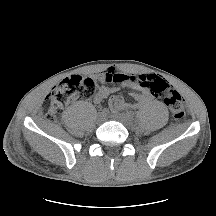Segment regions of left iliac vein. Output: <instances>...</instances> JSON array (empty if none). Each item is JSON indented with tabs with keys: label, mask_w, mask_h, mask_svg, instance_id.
<instances>
[{
	"label": "left iliac vein",
	"mask_w": 216,
	"mask_h": 216,
	"mask_svg": "<svg viewBox=\"0 0 216 216\" xmlns=\"http://www.w3.org/2000/svg\"><path fill=\"white\" fill-rule=\"evenodd\" d=\"M113 118L122 124H124L126 127L130 128L133 125V118L130 117L128 114H116L113 115Z\"/></svg>",
	"instance_id": "1"
}]
</instances>
